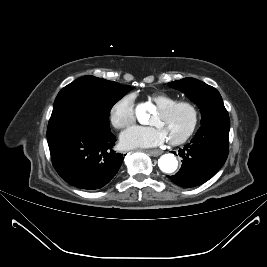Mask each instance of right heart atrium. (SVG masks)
Instances as JSON below:
<instances>
[{"label":"right heart atrium","instance_id":"right-heart-atrium-1","mask_svg":"<svg viewBox=\"0 0 267 267\" xmlns=\"http://www.w3.org/2000/svg\"><path fill=\"white\" fill-rule=\"evenodd\" d=\"M109 119L116 129H125L135 121V104L132 94H125L114 102L109 111Z\"/></svg>","mask_w":267,"mask_h":267}]
</instances>
